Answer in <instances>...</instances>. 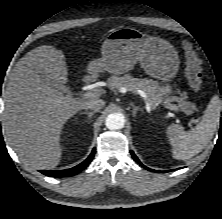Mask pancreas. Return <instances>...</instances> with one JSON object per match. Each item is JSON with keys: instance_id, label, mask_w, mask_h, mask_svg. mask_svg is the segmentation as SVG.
Segmentation results:
<instances>
[{"instance_id": "1", "label": "pancreas", "mask_w": 222, "mask_h": 219, "mask_svg": "<svg viewBox=\"0 0 222 219\" xmlns=\"http://www.w3.org/2000/svg\"><path fill=\"white\" fill-rule=\"evenodd\" d=\"M108 84L111 90L117 89L120 90L122 87L127 88L130 91L135 92L137 89H140L146 93L147 100L151 103L152 106L158 104L164 99L162 94V87L157 81L152 79H140L134 78L129 74H126L122 77L111 76L108 79ZM187 96L183 94L182 97H167V101H177L179 108L186 114H191L195 110V105L192 102L186 101Z\"/></svg>"}]
</instances>
